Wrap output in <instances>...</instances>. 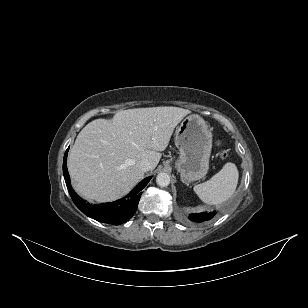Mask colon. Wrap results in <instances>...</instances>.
<instances>
[{
	"mask_svg": "<svg viewBox=\"0 0 308 308\" xmlns=\"http://www.w3.org/2000/svg\"><path fill=\"white\" fill-rule=\"evenodd\" d=\"M221 156H222L223 158H225V157H226V153L223 152V153L221 154Z\"/></svg>",
	"mask_w": 308,
	"mask_h": 308,
	"instance_id": "colon-1",
	"label": "colon"
}]
</instances>
